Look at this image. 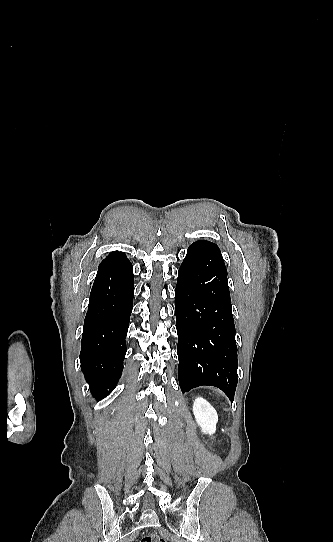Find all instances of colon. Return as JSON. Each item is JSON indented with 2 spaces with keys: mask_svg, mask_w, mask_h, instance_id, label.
<instances>
[{
  "mask_svg": "<svg viewBox=\"0 0 333 542\" xmlns=\"http://www.w3.org/2000/svg\"><path fill=\"white\" fill-rule=\"evenodd\" d=\"M140 542H164V539L157 534H145L141 537Z\"/></svg>",
  "mask_w": 333,
  "mask_h": 542,
  "instance_id": "colon-1",
  "label": "colon"
}]
</instances>
